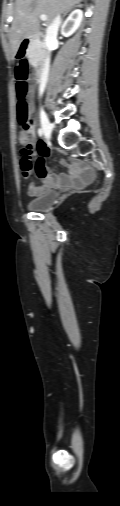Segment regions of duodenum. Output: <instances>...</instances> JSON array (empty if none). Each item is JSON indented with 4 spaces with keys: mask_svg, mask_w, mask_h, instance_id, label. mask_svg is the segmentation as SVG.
Returning a JSON list of instances; mask_svg holds the SVG:
<instances>
[{
    "mask_svg": "<svg viewBox=\"0 0 120 506\" xmlns=\"http://www.w3.org/2000/svg\"><path fill=\"white\" fill-rule=\"evenodd\" d=\"M42 37H43V34L40 32H37V33H34L31 36L23 39L21 45H19L18 49H17L18 50V53H17L18 57L22 58V59L26 58L27 54H28L27 53L28 47L32 43L39 41ZM35 67H36V71H37V76L40 77L44 71V62L43 61L36 62Z\"/></svg>",
    "mask_w": 120,
    "mask_h": 506,
    "instance_id": "410a0bca",
    "label": "duodenum"
}]
</instances>
